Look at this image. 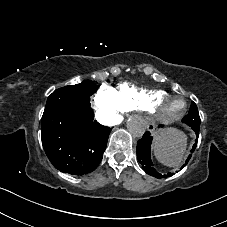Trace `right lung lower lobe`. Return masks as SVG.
I'll list each match as a JSON object with an SVG mask.
<instances>
[{
  "label": "right lung lower lobe",
  "mask_w": 227,
  "mask_h": 227,
  "mask_svg": "<svg viewBox=\"0 0 227 227\" xmlns=\"http://www.w3.org/2000/svg\"><path fill=\"white\" fill-rule=\"evenodd\" d=\"M111 128L94 120L91 107L65 108L42 117L41 139L53 166L64 173L94 171L106 149Z\"/></svg>",
  "instance_id": "1"
}]
</instances>
